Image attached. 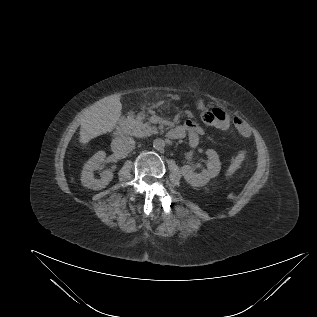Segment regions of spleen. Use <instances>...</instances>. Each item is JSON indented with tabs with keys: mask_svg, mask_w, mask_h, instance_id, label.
Listing matches in <instances>:
<instances>
[{
	"mask_svg": "<svg viewBox=\"0 0 317 317\" xmlns=\"http://www.w3.org/2000/svg\"><path fill=\"white\" fill-rule=\"evenodd\" d=\"M244 159V153H240L231 163V165L229 166L226 175L230 176L232 175L239 167L241 162Z\"/></svg>",
	"mask_w": 317,
	"mask_h": 317,
	"instance_id": "spleen-1",
	"label": "spleen"
}]
</instances>
